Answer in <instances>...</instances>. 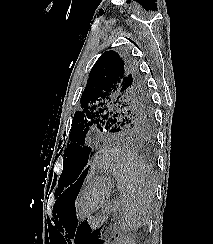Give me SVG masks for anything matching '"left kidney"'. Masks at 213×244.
I'll use <instances>...</instances> for the list:
<instances>
[{
	"instance_id": "left-kidney-1",
	"label": "left kidney",
	"mask_w": 213,
	"mask_h": 244,
	"mask_svg": "<svg viewBox=\"0 0 213 244\" xmlns=\"http://www.w3.org/2000/svg\"><path fill=\"white\" fill-rule=\"evenodd\" d=\"M115 244H135L130 236H121L117 238Z\"/></svg>"
}]
</instances>
